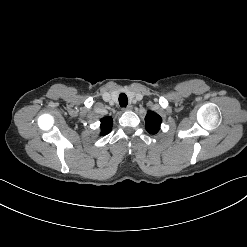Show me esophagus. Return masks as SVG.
Masks as SVG:
<instances>
[{"mask_svg":"<svg viewBox=\"0 0 247 247\" xmlns=\"http://www.w3.org/2000/svg\"><path fill=\"white\" fill-rule=\"evenodd\" d=\"M123 111H130L132 110V106L128 105L127 107L122 108Z\"/></svg>","mask_w":247,"mask_h":247,"instance_id":"34e87169","label":"esophagus"}]
</instances>
